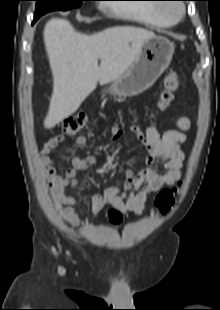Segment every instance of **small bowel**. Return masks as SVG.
Wrapping results in <instances>:
<instances>
[{"label":"small bowel","mask_w":220,"mask_h":310,"mask_svg":"<svg viewBox=\"0 0 220 310\" xmlns=\"http://www.w3.org/2000/svg\"><path fill=\"white\" fill-rule=\"evenodd\" d=\"M175 124L179 130H168L163 134L159 133L156 123L151 124L145 132L137 126L131 128L148 151L147 166L138 173L130 168L122 167L123 177L103 194H87L92 213L98 214L104 207L112 206L122 213L139 215L151 193L165 186H171L181 179L185 160L181 146L186 140L184 131L189 129L190 120L185 116H179L175 118ZM122 135L123 130L120 127L110 128L111 143L119 140ZM64 139V135L58 134L47 140L40 150L39 160L44 172L55 186L54 199L57 213L71 226L79 227L81 221L74 209L76 199L67 191L78 186V173L92 166L96 158L93 156L75 157L70 168L58 173L54 167L55 160L52 152ZM76 144L81 147L86 146L87 138L84 135L77 136ZM158 160L162 161L161 168L166 171L165 173H160L153 168Z\"/></svg>","instance_id":"c3829d8e"}]
</instances>
